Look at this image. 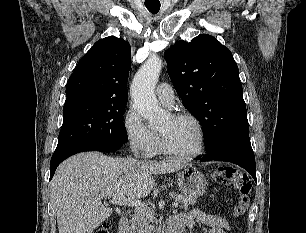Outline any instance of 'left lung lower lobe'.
Masks as SVG:
<instances>
[{"label":"left lung lower lobe","instance_id":"0a47b994","mask_svg":"<svg viewBox=\"0 0 306 233\" xmlns=\"http://www.w3.org/2000/svg\"><path fill=\"white\" fill-rule=\"evenodd\" d=\"M207 154L200 161H227L246 169L256 181L255 157L249 137L233 138L222 141L206 151Z\"/></svg>","mask_w":306,"mask_h":233}]
</instances>
